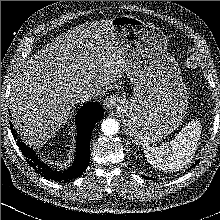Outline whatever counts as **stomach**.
I'll return each instance as SVG.
<instances>
[{"label":"stomach","mask_w":220,"mask_h":220,"mask_svg":"<svg viewBox=\"0 0 220 220\" xmlns=\"http://www.w3.org/2000/svg\"><path fill=\"white\" fill-rule=\"evenodd\" d=\"M111 23L127 64L125 73L135 86L133 96L123 99L127 132L137 145L154 143L183 122L187 87L166 54L162 30L128 15L114 17Z\"/></svg>","instance_id":"obj_1"}]
</instances>
